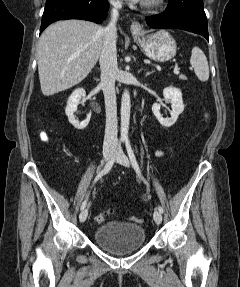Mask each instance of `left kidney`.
Returning <instances> with one entry per match:
<instances>
[{"label":"left kidney","mask_w":240,"mask_h":287,"mask_svg":"<svg viewBox=\"0 0 240 287\" xmlns=\"http://www.w3.org/2000/svg\"><path fill=\"white\" fill-rule=\"evenodd\" d=\"M163 96L166 102L171 103L172 110L170 112L171 117L170 118H163V116L160 113V104H153L152 106V112L154 116L157 118L159 123L168 128L171 127L176 121L178 116L183 112L184 110V104L182 100V93L179 89L175 87H166L163 90Z\"/></svg>","instance_id":"1"}]
</instances>
